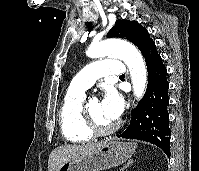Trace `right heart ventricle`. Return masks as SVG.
<instances>
[{
    "mask_svg": "<svg viewBox=\"0 0 199 171\" xmlns=\"http://www.w3.org/2000/svg\"><path fill=\"white\" fill-rule=\"evenodd\" d=\"M85 92L67 89L59 111L62 135L70 142L81 143L92 139L83 111Z\"/></svg>",
    "mask_w": 199,
    "mask_h": 171,
    "instance_id": "obj_1",
    "label": "right heart ventricle"
}]
</instances>
